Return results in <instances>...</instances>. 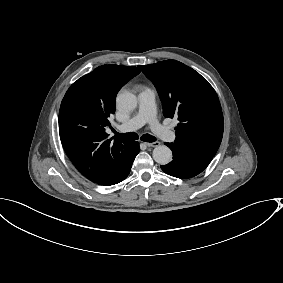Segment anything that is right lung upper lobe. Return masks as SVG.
<instances>
[{
    "label": "right lung upper lobe",
    "mask_w": 283,
    "mask_h": 283,
    "mask_svg": "<svg viewBox=\"0 0 283 283\" xmlns=\"http://www.w3.org/2000/svg\"><path fill=\"white\" fill-rule=\"evenodd\" d=\"M139 70L134 66L102 65L79 78L66 92L59 111L63 148L78 171L100 182L127 164L134 141L108 138L105 127L115 112L118 91Z\"/></svg>",
    "instance_id": "right-lung-upper-lobe-1"
}]
</instances>
